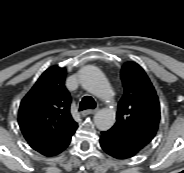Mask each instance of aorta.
I'll return each instance as SVG.
<instances>
[{"mask_svg":"<svg viewBox=\"0 0 184 173\" xmlns=\"http://www.w3.org/2000/svg\"><path fill=\"white\" fill-rule=\"evenodd\" d=\"M80 80L82 86L106 103H113L114 92L104 74L94 66L82 69ZM116 112L112 108H103L94 116V123L101 131L109 130L115 123Z\"/></svg>","mask_w":184,"mask_h":173,"instance_id":"762f6f07","label":"aorta"}]
</instances>
